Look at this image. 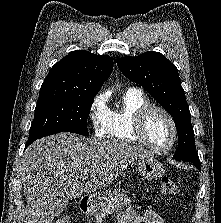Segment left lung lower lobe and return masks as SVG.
Here are the masks:
<instances>
[{"label":"left lung lower lobe","mask_w":221,"mask_h":223,"mask_svg":"<svg viewBox=\"0 0 221 223\" xmlns=\"http://www.w3.org/2000/svg\"><path fill=\"white\" fill-rule=\"evenodd\" d=\"M191 163H193L194 166H195L198 170H200V162H191Z\"/></svg>","instance_id":"0a47b994"}]
</instances>
